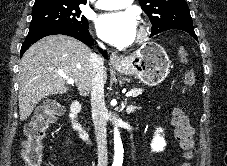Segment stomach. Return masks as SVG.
Masks as SVG:
<instances>
[{
  "mask_svg": "<svg viewBox=\"0 0 227 166\" xmlns=\"http://www.w3.org/2000/svg\"><path fill=\"white\" fill-rule=\"evenodd\" d=\"M170 65L165 49L158 43L148 42L114 68L121 74L136 76L148 86H156L167 77Z\"/></svg>",
  "mask_w": 227,
  "mask_h": 166,
  "instance_id": "obj_1",
  "label": "stomach"
}]
</instances>
